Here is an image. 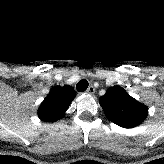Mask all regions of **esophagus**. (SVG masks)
Masks as SVG:
<instances>
[{"instance_id":"1","label":"esophagus","mask_w":164,"mask_h":164,"mask_svg":"<svg viewBox=\"0 0 164 164\" xmlns=\"http://www.w3.org/2000/svg\"><path fill=\"white\" fill-rule=\"evenodd\" d=\"M94 92H95V88L92 85L89 86L88 89H87V93L94 94Z\"/></svg>"}]
</instances>
